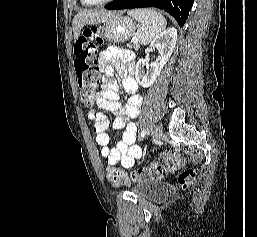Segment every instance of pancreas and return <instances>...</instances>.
Here are the masks:
<instances>
[{
  "mask_svg": "<svg viewBox=\"0 0 257 237\" xmlns=\"http://www.w3.org/2000/svg\"><path fill=\"white\" fill-rule=\"evenodd\" d=\"M128 46V48H130V49H132V48H134V49H136V50H138L139 49V44L138 43H130V44H128L127 45Z\"/></svg>",
  "mask_w": 257,
  "mask_h": 237,
  "instance_id": "pancreas-1",
  "label": "pancreas"
}]
</instances>
